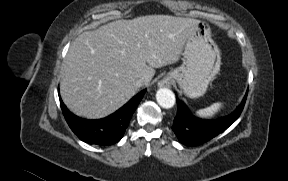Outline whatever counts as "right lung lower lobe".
I'll return each instance as SVG.
<instances>
[{
  "label": "right lung lower lobe",
  "instance_id": "1",
  "mask_svg": "<svg viewBox=\"0 0 288 181\" xmlns=\"http://www.w3.org/2000/svg\"><path fill=\"white\" fill-rule=\"evenodd\" d=\"M146 90L134 96L127 104L110 116L87 120L71 113L60 98L63 115L77 137L89 144L109 146L120 141L129 126L131 117Z\"/></svg>",
  "mask_w": 288,
  "mask_h": 181
}]
</instances>
